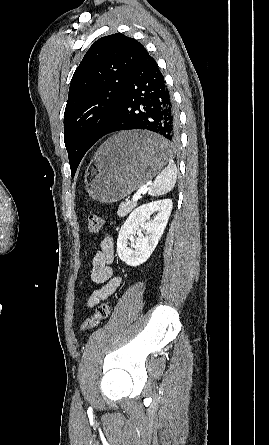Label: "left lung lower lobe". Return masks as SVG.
Here are the masks:
<instances>
[{"mask_svg":"<svg viewBox=\"0 0 269 445\" xmlns=\"http://www.w3.org/2000/svg\"><path fill=\"white\" fill-rule=\"evenodd\" d=\"M129 129L155 132L172 146L178 142V116L172 96L147 50L127 83L114 120L102 137Z\"/></svg>","mask_w":269,"mask_h":445,"instance_id":"0a47b994","label":"left lung lower lobe"}]
</instances>
